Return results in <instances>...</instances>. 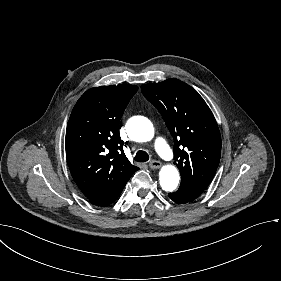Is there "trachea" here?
<instances>
[{
	"label": "trachea",
	"mask_w": 281,
	"mask_h": 281,
	"mask_svg": "<svg viewBox=\"0 0 281 281\" xmlns=\"http://www.w3.org/2000/svg\"><path fill=\"white\" fill-rule=\"evenodd\" d=\"M148 160H149V155L143 150H139L135 155V161L137 162L143 163Z\"/></svg>",
	"instance_id": "1"
}]
</instances>
